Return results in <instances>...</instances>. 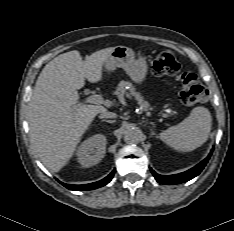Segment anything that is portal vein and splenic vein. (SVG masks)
<instances>
[{"mask_svg": "<svg viewBox=\"0 0 234 231\" xmlns=\"http://www.w3.org/2000/svg\"><path fill=\"white\" fill-rule=\"evenodd\" d=\"M87 103H93V104H103L105 103L104 99L102 98V96L100 95H91L86 99ZM164 118H167L168 115L167 114H163L162 115Z\"/></svg>", "mask_w": 234, "mask_h": 231, "instance_id": "1", "label": "portal vein and splenic vein"}]
</instances>
